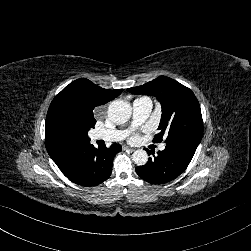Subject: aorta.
<instances>
[{"label": "aorta", "instance_id": "obj_1", "mask_svg": "<svg viewBox=\"0 0 251 251\" xmlns=\"http://www.w3.org/2000/svg\"><path fill=\"white\" fill-rule=\"evenodd\" d=\"M132 114V107L129 102L114 100L108 107V118L117 125L126 123ZM132 159L138 166H143L148 161V154L143 149L133 152Z\"/></svg>", "mask_w": 251, "mask_h": 251}]
</instances>
